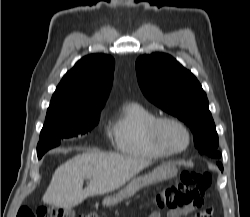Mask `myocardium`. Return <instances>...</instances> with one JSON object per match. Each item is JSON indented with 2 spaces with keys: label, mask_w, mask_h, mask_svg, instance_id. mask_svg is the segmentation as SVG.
<instances>
[{
  "label": "myocardium",
  "mask_w": 250,
  "mask_h": 217,
  "mask_svg": "<svg viewBox=\"0 0 250 217\" xmlns=\"http://www.w3.org/2000/svg\"><path fill=\"white\" fill-rule=\"evenodd\" d=\"M167 125L175 126L183 132L186 138V142L183 147L175 148L165 140L163 130ZM149 133L152 141L159 148L169 154H179L184 152L189 147L191 142V135L187 126L179 119L170 116L156 117L149 127Z\"/></svg>",
  "instance_id": "obj_1"
}]
</instances>
